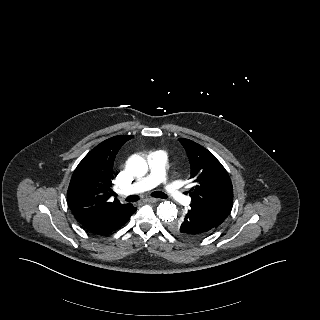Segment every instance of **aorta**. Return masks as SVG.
Wrapping results in <instances>:
<instances>
[{"mask_svg":"<svg viewBox=\"0 0 320 320\" xmlns=\"http://www.w3.org/2000/svg\"><path fill=\"white\" fill-rule=\"evenodd\" d=\"M127 169L133 176L142 177L148 171V164L145 158L139 154H133L127 160ZM177 214L178 210L176 205L172 202L165 201L160 203L157 207L158 217L166 223L174 222L177 218Z\"/></svg>","mask_w":320,"mask_h":320,"instance_id":"aorta-1","label":"aorta"}]
</instances>
